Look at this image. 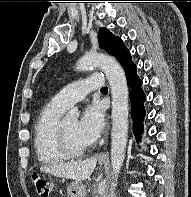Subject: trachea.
Segmentation results:
<instances>
[{
	"mask_svg": "<svg viewBox=\"0 0 191 197\" xmlns=\"http://www.w3.org/2000/svg\"><path fill=\"white\" fill-rule=\"evenodd\" d=\"M106 89H107V87H103V88H102V90H106Z\"/></svg>",
	"mask_w": 191,
	"mask_h": 197,
	"instance_id": "1",
	"label": "trachea"
}]
</instances>
